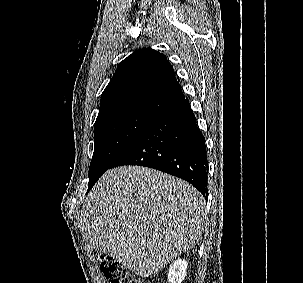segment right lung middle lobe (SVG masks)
I'll return each mask as SVG.
<instances>
[{
  "label": "right lung middle lobe",
  "instance_id": "dd1d6c3e",
  "mask_svg": "<svg viewBox=\"0 0 303 283\" xmlns=\"http://www.w3.org/2000/svg\"><path fill=\"white\" fill-rule=\"evenodd\" d=\"M156 116L129 113L102 119L94 125V153L89 168L88 191L101 175L154 120Z\"/></svg>",
  "mask_w": 303,
  "mask_h": 283
}]
</instances>
